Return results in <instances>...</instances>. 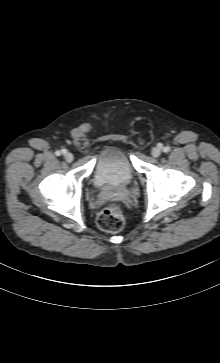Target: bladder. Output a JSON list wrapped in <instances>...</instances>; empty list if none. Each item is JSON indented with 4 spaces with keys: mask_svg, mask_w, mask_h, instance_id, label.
<instances>
[{
    "mask_svg": "<svg viewBox=\"0 0 220 363\" xmlns=\"http://www.w3.org/2000/svg\"><path fill=\"white\" fill-rule=\"evenodd\" d=\"M136 170L126 149L116 143L105 144L97 156L93 184L100 189L124 188L135 178Z\"/></svg>",
    "mask_w": 220,
    "mask_h": 363,
    "instance_id": "1",
    "label": "bladder"
}]
</instances>
